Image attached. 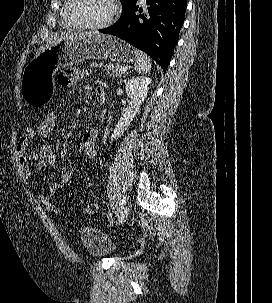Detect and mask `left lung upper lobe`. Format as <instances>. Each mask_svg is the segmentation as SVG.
I'll return each mask as SVG.
<instances>
[{
  "instance_id": "5c2ea615",
  "label": "left lung upper lobe",
  "mask_w": 272,
  "mask_h": 303,
  "mask_svg": "<svg viewBox=\"0 0 272 303\" xmlns=\"http://www.w3.org/2000/svg\"><path fill=\"white\" fill-rule=\"evenodd\" d=\"M136 2H137V0H121L122 6H123V13L127 9H129L130 7H132Z\"/></svg>"
}]
</instances>
